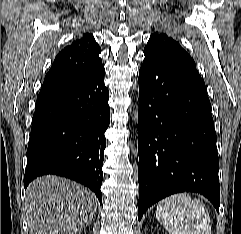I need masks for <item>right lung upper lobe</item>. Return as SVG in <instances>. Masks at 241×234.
I'll use <instances>...</instances> for the list:
<instances>
[{
    "mask_svg": "<svg viewBox=\"0 0 241 234\" xmlns=\"http://www.w3.org/2000/svg\"><path fill=\"white\" fill-rule=\"evenodd\" d=\"M100 52L93 35L84 34L56 56L41 90L74 83L96 73L103 68Z\"/></svg>",
    "mask_w": 241,
    "mask_h": 234,
    "instance_id": "right-lung-upper-lobe-1",
    "label": "right lung upper lobe"
}]
</instances>
